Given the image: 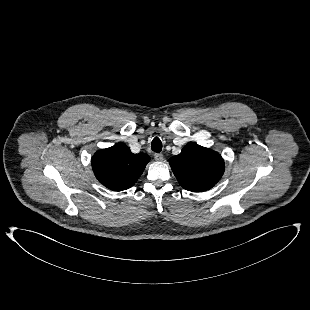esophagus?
Masks as SVG:
<instances>
[{
	"instance_id": "obj_1",
	"label": "esophagus",
	"mask_w": 310,
	"mask_h": 310,
	"mask_svg": "<svg viewBox=\"0 0 310 310\" xmlns=\"http://www.w3.org/2000/svg\"><path fill=\"white\" fill-rule=\"evenodd\" d=\"M154 158L156 161H162L164 159V156L161 153H155Z\"/></svg>"
}]
</instances>
